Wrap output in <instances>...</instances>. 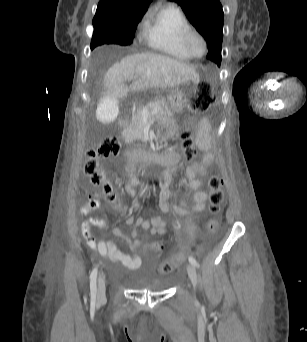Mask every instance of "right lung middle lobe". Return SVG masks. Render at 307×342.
<instances>
[{
  "label": "right lung middle lobe",
  "mask_w": 307,
  "mask_h": 342,
  "mask_svg": "<svg viewBox=\"0 0 307 342\" xmlns=\"http://www.w3.org/2000/svg\"><path fill=\"white\" fill-rule=\"evenodd\" d=\"M134 38V32H110L94 29L91 40V49L102 44L130 45Z\"/></svg>",
  "instance_id": "1"
}]
</instances>
